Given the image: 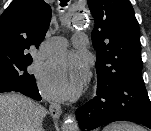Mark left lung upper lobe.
<instances>
[{
	"label": "left lung upper lobe",
	"mask_w": 151,
	"mask_h": 131,
	"mask_svg": "<svg viewBox=\"0 0 151 131\" xmlns=\"http://www.w3.org/2000/svg\"><path fill=\"white\" fill-rule=\"evenodd\" d=\"M88 6L95 20L98 88H103L142 69L140 30L129 0H88Z\"/></svg>",
	"instance_id": "5c2ea615"
}]
</instances>
